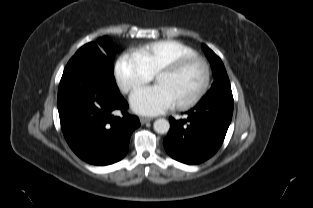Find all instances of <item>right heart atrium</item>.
I'll return each mask as SVG.
<instances>
[{
  "mask_svg": "<svg viewBox=\"0 0 313 208\" xmlns=\"http://www.w3.org/2000/svg\"><path fill=\"white\" fill-rule=\"evenodd\" d=\"M114 74L119 88L128 93L152 79L140 58L135 53H125L116 61Z\"/></svg>",
  "mask_w": 313,
  "mask_h": 208,
  "instance_id": "obj_1",
  "label": "right heart atrium"
}]
</instances>
